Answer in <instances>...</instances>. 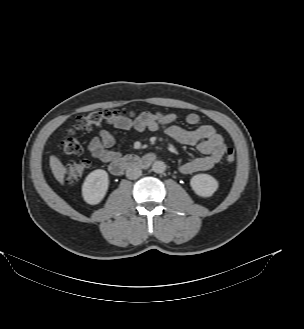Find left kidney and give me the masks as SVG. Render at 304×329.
Here are the masks:
<instances>
[{"label":"left kidney","instance_id":"obj_1","mask_svg":"<svg viewBox=\"0 0 304 329\" xmlns=\"http://www.w3.org/2000/svg\"><path fill=\"white\" fill-rule=\"evenodd\" d=\"M193 191L201 197H210L218 189V181L208 174L194 175L190 180Z\"/></svg>","mask_w":304,"mask_h":329}]
</instances>
